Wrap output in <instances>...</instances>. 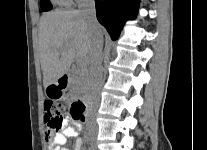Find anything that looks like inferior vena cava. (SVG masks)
I'll list each match as a JSON object with an SVG mask.
<instances>
[{"label":"inferior vena cava","mask_w":207,"mask_h":150,"mask_svg":"<svg viewBox=\"0 0 207 150\" xmlns=\"http://www.w3.org/2000/svg\"><path fill=\"white\" fill-rule=\"evenodd\" d=\"M79 11L86 18L89 26L94 32L91 48L89 51V70L91 76V90L96 102L100 100V89L103 85L102 72V48L103 37L97 31V19L94 0H78Z\"/></svg>","instance_id":"obj_1"}]
</instances>
